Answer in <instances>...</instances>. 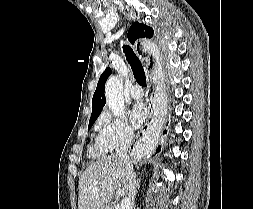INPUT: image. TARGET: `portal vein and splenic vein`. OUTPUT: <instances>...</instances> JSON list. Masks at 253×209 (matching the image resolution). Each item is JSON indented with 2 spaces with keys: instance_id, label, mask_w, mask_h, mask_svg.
I'll use <instances>...</instances> for the list:
<instances>
[{
  "instance_id": "portal-vein-and-splenic-vein-1",
  "label": "portal vein and splenic vein",
  "mask_w": 253,
  "mask_h": 209,
  "mask_svg": "<svg viewBox=\"0 0 253 209\" xmlns=\"http://www.w3.org/2000/svg\"><path fill=\"white\" fill-rule=\"evenodd\" d=\"M130 206V199L125 197L121 201L120 209H129Z\"/></svg>"
}]
</instances>
